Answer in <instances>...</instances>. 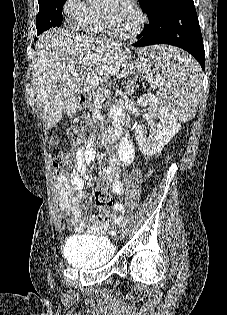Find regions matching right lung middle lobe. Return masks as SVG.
I'll return each instance as SVG.
<instances>
[{"label": "right lung middle lobe", "mask_w": 227, "mask_h": 315, "mask_svg": "<svg viewBox=\"0 0 227 315\" xmlns=\"http://www.w3.org/2000/svg\"><path fill=\"white\" fill-rule=\"evenodd\" d=\"M66 0L38 1L39 12L36 16L37 35L50 27H59L62 24V9Z\"/></svg>", "instance_id": "1"}]
</instances>
